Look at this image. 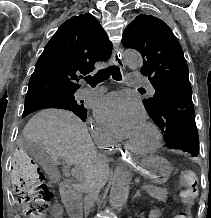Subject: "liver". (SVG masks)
I'll use <instances>...</instances> for the list:
<instances>
[{"label": "liver", "instance_id": "liver-1", "mask_svg": "<svg viewBox=\"0 0 211 218\" xmlns=\"http://www.w3.org/2000/svg\"><path fill=\"white\" fill-rule=\"evenodd\" d=\"M27 142L41 144L52 160H65L76 164L82 172L103 178L105 184L108 166L105 158L97 154L91 136L77 116L67 110H41L35 114L23 132Z\"/></svg>", "mask_w": 211, "mask_h": 218}]
</instances>
